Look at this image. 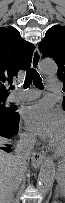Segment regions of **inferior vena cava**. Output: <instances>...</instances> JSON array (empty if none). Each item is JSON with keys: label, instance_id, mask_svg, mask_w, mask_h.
Wrapping results in <instances>:
<instances>
[{"label": "inferior vena cava", "instance_id": "obj_1", "mask_svg": "<svg viewBox=\"0 0 65 203\" xmlns=\"http://www.w3.org/2000/svg\"><path fill=\"white\" fill-rule=\"evenodd\" d=\"M35 142H36L35 138L31 136L22 137L17 142L15 148V158L17 160L16 178L15 181L12 183L9 196L7 198L2 197L0 199V203H14L13 193L18 187L20 178L24 176L27 161L30 159L32 147Z\"/></svg>", "mask_w": 65, "mask_h": 203}]
</instances>
